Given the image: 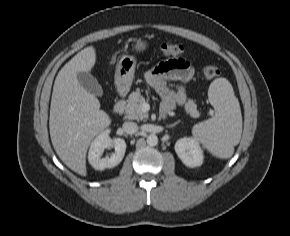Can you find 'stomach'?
Segmentation results:
<instances>
[{"label": "stomach", "instance_id": "obj_1", "mask_svg": "<svg viewBox=\"0 0 290 236\" xmlns=\"http://www.w3.org/2000/svg\"><path fill=\"white\" fill-rule=\"evenodd\" d=\"M149 44L145 40H137L134 48L137 52H143L147 50ZM136 67V58L131 55H123L115 70V84L119 90H128L132 84L134 78V72Z\"/></svg>", "mask_w": 290, "mask_h": 236}]
</instances>
